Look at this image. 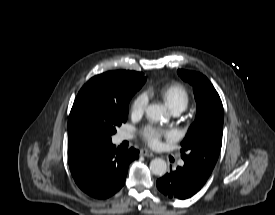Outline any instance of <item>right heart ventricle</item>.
Instances as JSON below:
<instances>
[{
  "label": "right heart ventricle",
  "instance_id": "obj_1",
  "mask_svg": "<svg viewBox=\"0 0 275 215\" xmlns=\"http://www.w3.org/2000/svg\"><path fill=\"white\" fill-rule=\"evenodd\" d=\"M160 97L171 111H182L189 103V93L179 83H168L151 91Z\"/></svg>",
  "mask_w": 275,
  "mask_h": 215
}]
</instances>
